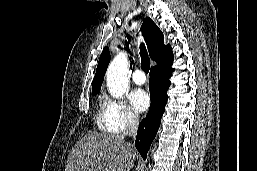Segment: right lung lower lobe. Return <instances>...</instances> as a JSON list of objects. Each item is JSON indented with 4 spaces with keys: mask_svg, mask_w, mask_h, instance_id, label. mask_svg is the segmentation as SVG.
<instances>
[{
    "mask_svg": "<svg viewBox=\"0 0 257 171\" xmlns=\"http://www.w3.org/2000/svg\"><path fill=\"white\" fill-rule=\"evenodd\" d=\"M172 62L156 65L151 68L149 90L151 105L146 118L139 125L135 146L143 159H146L148 149L158 131L161 117L167 103V90L170 86L169 77L174 71Z\"/></svg>",
    "mask_w": 257,
    "mask_h": 171,
    "instance_id": "obj_1",
    "label": "right lung lower lobe"
}]
</instances>
